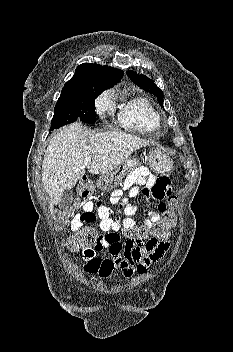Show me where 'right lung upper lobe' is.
<instances>
[{"label": "right lung upper lobe", "instance_id": "cb5924a9", "mask_svg": "<svg viewBox=\"0 0 233 352\" xmlns=\"http://www.w3.org/2000/svg\"><path fill=\"white\" fill-rule=\"evenodd\" d=\"M123 75L124 72L116 68L84 63L76 68L74 76L65 83L61 94H71L86 86H100L108 89L117 84Z\"/></svg>", "mask_w": 233, "mask_h": 352}]
</instances>
